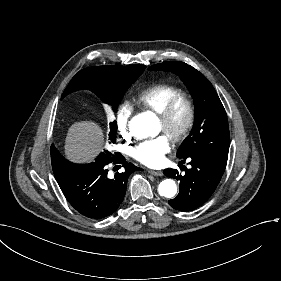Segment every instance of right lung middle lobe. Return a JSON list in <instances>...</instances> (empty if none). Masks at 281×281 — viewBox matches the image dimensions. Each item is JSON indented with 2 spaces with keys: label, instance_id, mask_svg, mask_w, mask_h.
Returning a JSON list of instances; mask_svg holds the SVG:
<instances>
[{
  "label": "right lung middle lobe",
  "instance_id": "obj_1",
  "mask_svg": "<svg viewBox=\"0 0 281 281\" xmlns=\"http://www.w3.org/2000/svg\"><path fill=\"white\" fill-rule=\"evenodd\" d=\"M128 88L129 86L115 90L96 91L95 94L99 96L105 103L115 107L118 105ZM51 161L53 171H76L86 165L69 162L60 155L54 146L51 147Z\"/></svg>",
  "mask_w": 281,
  "mask_h": 281
}]
</instances>
